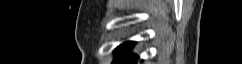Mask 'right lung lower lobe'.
I'll use <instances>...</instances> for the list:
<instances>
[{
	"label": "right lung lower lobe",
	"mask_w": 242,
	"mask_h": 64,
	"mask_svg": "<svg viewBox=\"0 0 242 64\" xmlns=\"http://www.w3.org/2000/svg\"><path fill=\"white\" fill-rule=\"evenodd\" d=\"M135 57H136V56H134V57H132V58H135ZM132 58H131V59H132ZM131 59L124 60L122 63L125 64V63L131 61Z\"/></svg>",
	"instance_id": "right-lung-lower-lobe-1"
}]
</instances>
